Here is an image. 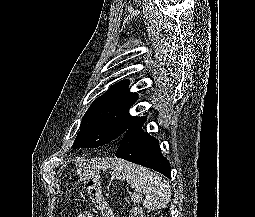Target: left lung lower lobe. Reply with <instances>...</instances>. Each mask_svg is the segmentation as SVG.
Masks as SVG:
<instances>
[{"label": "left lung lower lobe", "mask_w": 255, "mask_h": 217, "mask_svg": "<svg viewBox=\"0 0 255 217\" xmlns=\"http://www.w3.org/2000/svg\"><path fill=\"white\" fill-rule=\"evenodd\" d=\"M145 121V117H140L127 129L120 140L115 155L118 158L151 168L170 178V163L161 154L158 140L141 129Z\"/></svg>", "instance_id": "obj_1"}]
</instances>
